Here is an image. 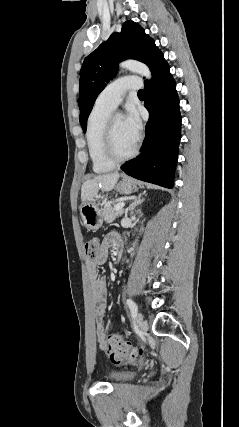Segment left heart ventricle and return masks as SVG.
<instances>
[{
  "instance_id": "1",
  "label": "left heart ventricle",
  "mask_w": 239,
  "mask_h": 427,
  "mask_svg": "<svg viewBox=\"0 0 239 427\" xmlns=\"http://www.w3.org/2000/svg\"><path fill=\"white\" fill-rule=\"evenodd\" d=\"M113 138L114 147L118 155L129 153L136 143L127 132L123 123V118L120 116L116 117L113 123Z\"/></svg>"
}]
</instances>
